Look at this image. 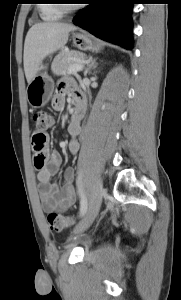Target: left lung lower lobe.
<instances>
[{
  "instance_id": "0a47b994",
  "label": "left lung lower lobe",
  "mask_w": 181,
  "mask_h": 300,
  "mask_svg": "<svg viewBox=\"0 0 181 300\" xmlns=\"http://www.w3.org/2000/svg\"><path fill=\"white\" fill-rule=\"evenodd\" d=\"M133 0H87L89 4L74 17L73 23L93 35L131 50L130 19Z\"/></svg>"
}]
</instances>
